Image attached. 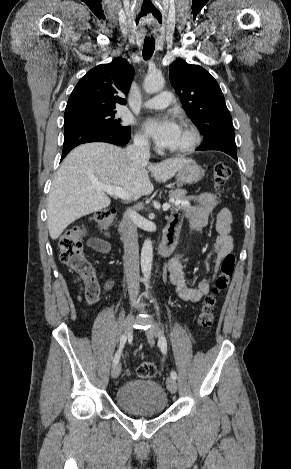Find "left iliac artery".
Instances as JSON below:
<instances>
[{
    "mask_svg": "<svg viewBox=\"0 0 291 469\" xmlns=\"http://www.w3.org/2000/svg\"><path fill=\"white\" fill-rule=\"evenodd\" d=\"M155 301V299H154ZM155 309H156V312H157V316H158V319L160 320V314H159V306L157 304V302L155 301ZM158 345L162 351L163 354H166L167 352V342H166V338L165 336L161 333V336L159 338V341H158ZM170 376L173 378V379H176L177 378V374L175 371H171L170 373Z\"/></svg>",
    "mask_w": 291,
    "mask_h": 469,
    "instance_id": "44dca946",
    "label": "left iliac artery"
}]
</instances>
